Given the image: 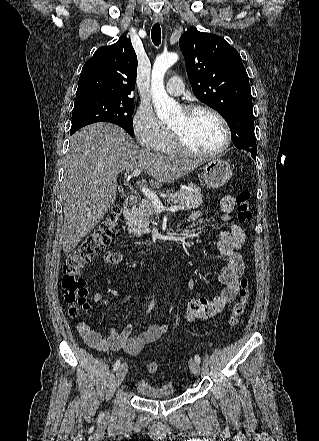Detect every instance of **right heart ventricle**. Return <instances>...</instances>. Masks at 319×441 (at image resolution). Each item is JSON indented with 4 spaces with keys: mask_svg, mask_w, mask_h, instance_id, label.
<instances>
[{
    "mask_svg": "<svg viewBox=\"0 0 319 441\" xmlns=\"http://www.w3.org/2000/svg\"><path fill=\"white\" fill-rule=\"evenodd\" d=\"M160 151L163 153H175L176 152L173 145H172L169 132H168L166 141H165L164 145L162 146V148L160 149Z\"/></svg>",
    "mask_w": 319,
    "mask_h": 441,
    "instance_id": "e07e8e85",
    "label": "right heart ventricle"
}]
</instances>
